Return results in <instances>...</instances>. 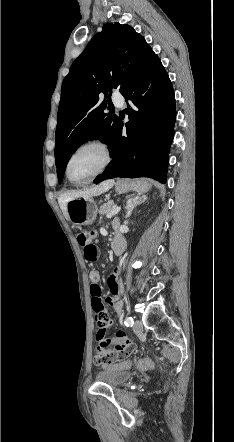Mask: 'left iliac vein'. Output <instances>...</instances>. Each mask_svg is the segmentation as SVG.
Returning <instances> with one entry per match:
<instances>
[{"label":"left iliac vein","instance_id":"1","mask_svg":"<svg viewBox=\"0 0 234 442\" xmlns=\"http://www.w3.org/2000/svg\"><path fill=\"white\" fill-rule=\"evenodd\" d=\"M143 328L142 322L141 320H135L134 325H133V330L135 332H139L141 331Z\"/></svg>","mask_w":234,"mask_h":442}]
</instances>
